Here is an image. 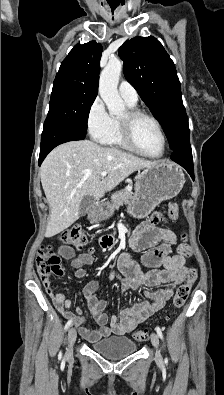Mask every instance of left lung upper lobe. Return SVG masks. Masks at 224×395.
I'll list each match as a JSON object with an SVG mask.
<instances>
[{"label":"left lung upper lobe","mask_w":224,"mask_h":395,"mask_svg":"<svg viewBox=\"0 0 224 395\" xmlns=\"http://www.w3.org/2000/svg\"><path fill=\"white\" fill-rule=\"evenodd\" d=\"M118 52L127 81L161 122L174 150L189 135V126L173 61L152 36L128 40Z\"/></svg>","instance_id":"obj_1"}]
</instances>
